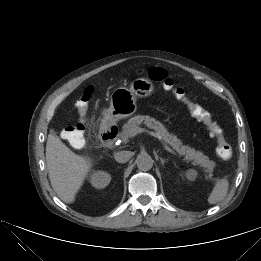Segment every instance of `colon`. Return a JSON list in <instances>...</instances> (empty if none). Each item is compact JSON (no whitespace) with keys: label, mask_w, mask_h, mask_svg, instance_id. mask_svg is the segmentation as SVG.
Instances as JSON below:
<instances>
[{"label":"colon","mask_w":261,"mask_h":261,"mask_svg":"<svg viewBox=\"0 0 261 261\" xmlns=\"http://www.w3.org/2000/svg\"><path fill=\"white\" fill-rule=\"evenodd\" d=\"M145 73L151 80L158 82L166 91L172 93L177 100L186 104L190 113L207 125L211 135L216 139V152L221 159L230 160L233 157V148L226 140L222 128L211 118L210 114L204 108L188 100L185 91L175 86L165 69L153 67ZM93 93L94 88L87 86L79 97L76 106L81 115L86 113ZM62 134L74 148H81L85 144V126L82 123L67 126L64 128Z\"/></svg>","instance_id":"5ec220e1"}]
</instances>
